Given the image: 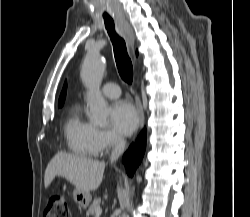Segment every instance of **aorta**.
Listing matches in <instances>:
<instances>
[{
	"instance_id": "1",
	"label": "aorta",
	"mask_w": 250,
	"mask_h": 217,
	"mask_svg": "<svg viewBox=\"0 0 250 217\" xmlns=\"http://www.w3.org/2000/svg\"><path fill=\"white\" fill-rule=\"evenodd\" d=\"M105 71V63L102 56L97 54H88L83 62L80 76L82 82L87 88L86 100L89 105V119L98 126L107 124L109 107L104 100L100 86ZM122 217H126L124 214Z\"/></svg>"
}]
</instances>
